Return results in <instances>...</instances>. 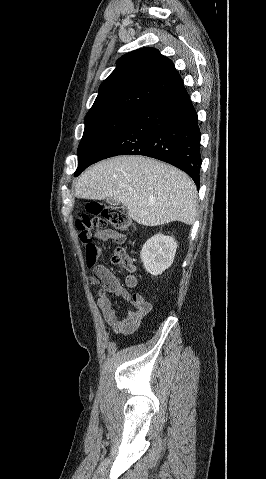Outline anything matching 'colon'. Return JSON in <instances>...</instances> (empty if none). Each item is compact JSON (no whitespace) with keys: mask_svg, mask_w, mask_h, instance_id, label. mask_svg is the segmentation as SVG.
<instances>
[{"mask_svg":"<svg viewBox=\"0 0 266 479\" xmlns=\"http://www.w3.org/2000/svg\"><path fill=\"white\" fill-rule=\"evenodd\" d=\"M85 209L86 213L77 219V228L85 246L86 265L92 267L101 254V249L92 241L95 232L111 227L115 233L125 235L129 217L122 207L107 206L96 201L88 202ZM113 261L123 269H133L132 261L123 248L117 249Z\"/></svg>","mask_w":266,"mask_h":479,"instance_id":"obj_1","label":"colon"}]
</instances>
